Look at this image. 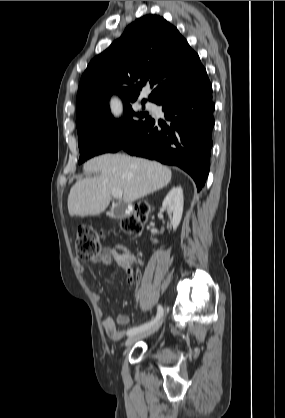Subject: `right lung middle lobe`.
<instances>
[{"label":"right lung middle lobe","mask_w":285,"mask_h":418,"mask_svg":"<svg viewBox=\"0 0 285 418\" xmlns=\"http://www.w3.org/2000/svg\"><path fill=\"white\" fill-rule=\"evenodd\" d=\"M144 103L143 108H144ZM135 116L139 120L134 119ZM141 118H146L141 120ZM152 120L149 113H135L131 105H124V118L114 119L107 110L91 119L77 124L80 151L79 164L105 152H116L137 135Z\"/></svg>","instance_id":"obj_1"}]
</instances>
